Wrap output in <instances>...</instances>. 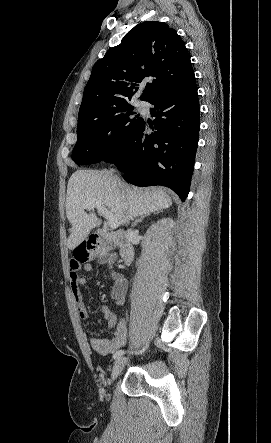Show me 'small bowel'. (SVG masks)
<instances>
[{
    "mask_svg": "<svg viewBox=\"0 0 271 443\" xmlns=\"http://www.w3.org/2000/svg\"><path fill=\"white\" fill-rule=\"evenodd\" d=\"M80 269L85 272H90L92 271V265L89 263L80 264L71 259L69 272L70 287L75 299L78 315L84 320L88 318V311L83 302L81 287L87 284V279L79 276L78 271ZM108 275L113 282L112 298L117 305H122L125 301L128 286L127 280L111 268L108 270ZM102 311L108 327L113 330V334L109 339L91 337L90 346L92 350L100 355H109L118 351L126 344L128 329L125 321L122 319L118 321L117 315L108 306H103Z\"/></svg>",
    "mask_w": 271,
    "mask_h": 443,
    "instance_id": "small-bowel-1",
    "label": "small bowel"
}]
</instances>
